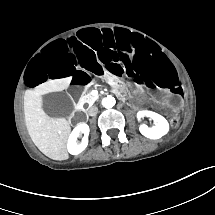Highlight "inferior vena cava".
<instances>
[{
	"label": "inferior vena cava",
	"instance_id": "inferior-vena-cava-1",
	"mask_svg": "<svg viewBox=\"0 0 215 215\" xmlns=\"http://www.w3.org/2000/svg\"><path fill=\"white\" fill-rule=\"evenodd\" d=\"M98 113V108L96 106H91L88 109L89 116H95Z\"/></svg>",
	"mask_w": 215,
	"mask_h": 215
}]
</instances>
